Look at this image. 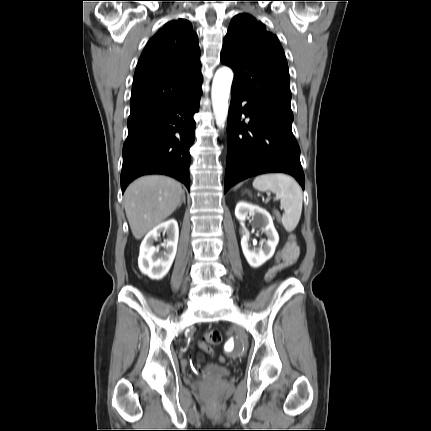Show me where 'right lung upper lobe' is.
Here are the masks:
<instances>
[{
  "mask_svg": "<svg viewBox=\"0 0 431 431\" xmlns=\"http://www.w3.org/2000/svg\"><path fill=\"white\" fill-rule=\"evenodd\" d=\"M196 33L185 19L163 26L147 43L138 61L130 114L166 104L202 81Z\"/></svg>",
  "mask_w": 431,
  "mask_h": 431,
  "instance_id": "right-lung-upper-lobe-1",
  "label": "right lung upper lobe"
}]
</instances>
